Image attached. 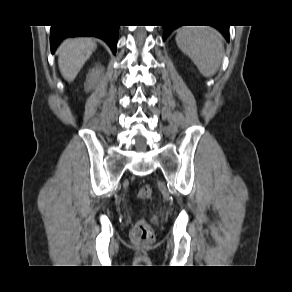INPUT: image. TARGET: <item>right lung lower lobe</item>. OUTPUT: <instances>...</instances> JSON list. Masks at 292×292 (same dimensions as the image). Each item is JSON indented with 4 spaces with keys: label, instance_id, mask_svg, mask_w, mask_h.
Listing matches in <instances>:
<instances>
[{
    "label": "right lung lower lobe",
    "instance_id": "obj_1",
    "mask_svg": "<svg viewBox=\"0 0 292 292\" xmlns=\"http://www.w3.org/2000/svg\"><path fill=\"white\" fill-rule=\"evenodd\" d=\"M119 26L76 25V26H52L50 44L52 53L59 43L66 37L95 36L104 40L112 52H116Z\"/></svg>",
    "mask_w": 292,
    "mask_h": 292
}]
</instances>
